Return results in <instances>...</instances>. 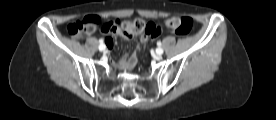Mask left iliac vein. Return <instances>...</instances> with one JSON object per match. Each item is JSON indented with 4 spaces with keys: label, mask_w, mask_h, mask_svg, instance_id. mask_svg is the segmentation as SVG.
<instances>
[{
    "label": "left iliac vein",
    "mask_w": 276,
    "mask_h": 120,
    "mask_svg": "<svg viewBox=\"0 0 276 120\" xmlns=\"http://www.w3.org/2000/svg\"><path fill=\"white\" fill-rule=\"evenodd\" d=\"M156 54H157L158 56H161V55L163 54V49L160 48V47H158V48L156 49Z\"/></svg>",
    "instance_id": "1"
}]
</instances>
